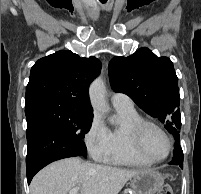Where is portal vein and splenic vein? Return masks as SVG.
Listing matches in <instances>:
<instances>
[{
    "instance_id": "1",
    "label": "portal vein and splenic vein",
    "mask_w": 201,
    "mask_h": 194,
    "mask_svg": "<svg viewBox=\"0 0 201 194\" xmlns=\"http://www.w3.org/2000/svg\"><path fill=\"white\" fill-rule=\"evenodd\" d=\"M79 187H74L73 189H71L70 191H69V194H77L78 193V191H79Z\"/></svg>"
}]
</instances>
